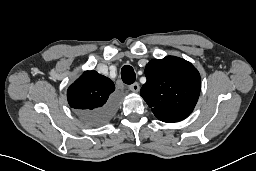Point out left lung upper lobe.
Listing matches in <instances>:
<instances>
[{
  "label": "left lung upper lobe",
  "instance_id": "1",
  "mask_svg": "<svg viewBox=\"0 0 256 171\" xmlns=\"http://www.w3.org/2000/svg\"><path fill=\"white\" fill-rule=\"evenodd\" d=\"M141 96L163 122H178L193 111L201 89L200 75L188 61L167 56L149 61Z\"/></svg>",
  "mask_w": 256,
  "mask_h": 171
}]
</instances>
